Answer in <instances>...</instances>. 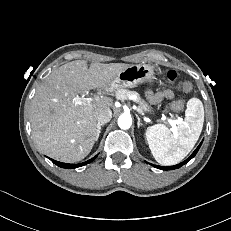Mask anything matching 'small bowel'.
<instances>
[{"mask_svg":"<svg viewBox=\"0 0 231 231\" xmlns=\"http://www.w3.org/2000/svg\"><path fill=\"white\" fill-rule=\"evenodd\" d=\"M147 96L150 102L159 103L163 99H171L173 97V93L170 90H163L157 93L148 91Z\"/></svg>","mask_w":231,"mask_h":231,"instance_id":"1","label":"small bowel"}]
</instances>
